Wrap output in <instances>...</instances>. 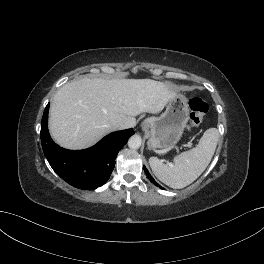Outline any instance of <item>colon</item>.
<instances>
[{
  "label": "colon",
  "instance_id": "5ec220e1",
  "mask_svg": "<svg viewBox=\"0 0 264 264\" xmlns=\"http://www.w3.org/2000/svg\"><path fill=\"white\" fill-rule=\"evenodd\" d=\"M190 115L187 124L188 129L198 127L205 114L208 112V104L198 97H193L189 100Z\"/></svg>",
  "mask_w": 264,
  "mask_h": 264
}]
</instances>
